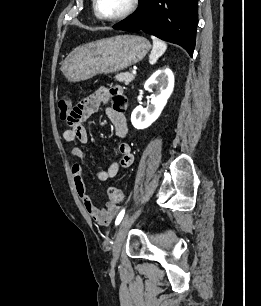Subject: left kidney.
<instances>
[{
  "label": "left kidney",
  "mask_w": 261,
  "mask_h": 306,
  "mask_svg": "<svg viewBox=\"0 0 261 306\" xmlns=\"http://www.w3.org/2000/svg\"><path fill=\"white\" fill-rule=\"evenodd\" d=\"M146 91L151 92V105L137 106L131 114L132 125L145 129L158 119L174 89V75L169 68L156 71L145 83ZM155 89V92H153Z\"/></svg>",
  "instance_id": "1"
}]
</instances>
